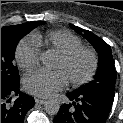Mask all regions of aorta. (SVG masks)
Returning <instances> with one entry per match:
<instances>
[{
    "mask_svg": "<svg viewBox=\"0 0 123 123\" xmlns=\"http://www.w3.org/2000/svg\"><path fill=\"white\" fill-rule=\"evenodd\" d=\"M52 55L49 52H45L41 55V61L44 65H50L52 63ZM60 104L56 100H48L44 104V110L49 115H56L59 112Z\"/></svg>",
    "mask_w": 123,
    "mask_h": 123,
    "instance_id": "762f6f07",
    "label": "aorta"
}]
</instances>
